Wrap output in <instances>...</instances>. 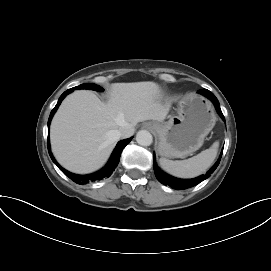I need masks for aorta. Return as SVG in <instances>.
Segmentation results:
<instances>
[{"instance_id": "762f6f07", "label": "aorta", "mask_w": 271, "mask_h": 271, "mask_svg": "<svg viewBox=\"0 0 271 271\" xmlns=\"http://www.w3.org/2000/svg\"><path fill=\"white\" fill-rule=\"evenodd\" d=\"M136 141L141 146H149L153 142V137L149 131L140 130L136 134Z\"/></svg>"}]
</instances>
